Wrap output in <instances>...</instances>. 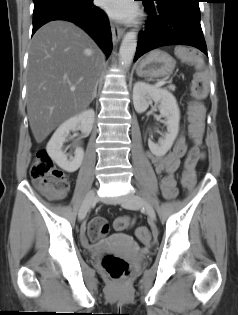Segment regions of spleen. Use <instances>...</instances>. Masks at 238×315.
Masks as SVG:
<instances>
[{"instance_id":"spleen-1","label":"spleen","mask_w":238,"mask_h":315,"mask_svg":"<svg viewBox=\"0 0 238 315\" xmlns=\"http://www.w3.org/2000/svg\"><path fill=\"white\" fill-rule=\"evenodd\" d=\"M196 63H197V67H202L203 64H204V61H203L202 58L197 57V58H196Z\"/></svg>"}]
</instances>
